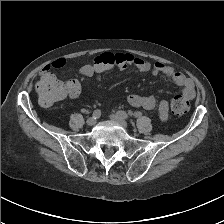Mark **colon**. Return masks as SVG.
Returning <instances> with one entry per match:
<instances>
[{"mask_svg": "<svg viewBox=\"0 0 224 224\" xmlns=\"http://www.w3.org/2000/svg\"><path fill=\"white\" fill-rule=\"evenodd\" d=\"M103 71L109 70L114 66L112 61L100 60L94 61ZM80 90V86L75 84V82L62 83L56 80L54 77H48L44 80H41L37 85V92L40 99L46 105H51L65 96L74 97ZM190 109V101L185 96L179 95L176 96L171 101V111L175 115H183L187 113Z\"/></svg>", "mask_w": 224, "mask_h": 224, "instance_id": "5ec220e1", "label": "colon"}]
</instances>
